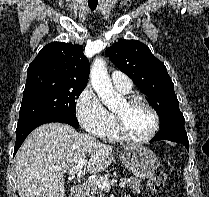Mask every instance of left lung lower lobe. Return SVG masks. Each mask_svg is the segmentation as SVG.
Instances as JSON below:
<instances>
[{
  "label": "left lung lower lobe",
  "mask_w": 209,
  "mask_h": 197,
  "mask_svg": "<svg viewBox=\"0 0 209 197\" xmlns=\"http://www.w3.org/2000/svg\"><path fill=\"white\" fill-rule=\"evenodd\" d=\"M157 140H169V141L181 143L189 151V141H188L187 133L185 131L184 123L173 124L161 129L151 140V142Z\"/></svg>",
  "instance_id": "obj_1"
}]
</instances>
